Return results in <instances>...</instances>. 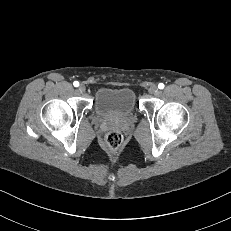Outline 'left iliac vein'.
I'll use <instances>...</instances> for the list:
<instances>
[{
  "label": "left iliac vein",
  "mask_w": 231,
  "mask_h": 231,
  "mask_svg": "<svg viewBox=\"0 0 231 231\" xmlns=\"http://www.w3.org/2000/svg\"><path fill=\"white\" fill-rule=\"evenodd\" d=\"M148 92L150 94H156L158 92V87L156 85H152V86H150Z\"/></svg>",
  "instance_id": "1"
}]
</instances>
